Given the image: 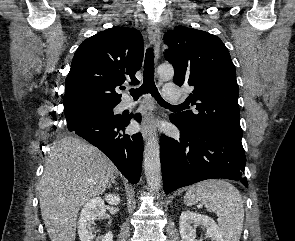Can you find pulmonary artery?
Listing matches in <instances>:
<instances>
[{
	"label": "pulmonary artery",
	"instance_id": "pulmonary-artery-1",
	"mask_svg": "<svg viewBox=\"0 0 295 241\" xmlns=\"http://www.w3.org/2000/svg\"><path fill=\"white\" fill-rule=\"evenodd\" d=\"M163 96L170 101H179L181 94H180V90L177 88V86L175 84H166L163 88ZM134 104L128 100L125 99L122 102V107L123 108H129L131 106H133Z\"/></svg>",
	"mask_w": 295,
	"mask_h": 241
}]
</instances>
